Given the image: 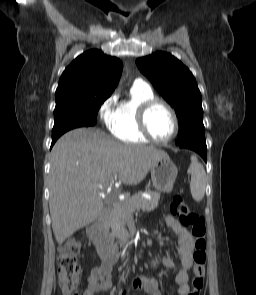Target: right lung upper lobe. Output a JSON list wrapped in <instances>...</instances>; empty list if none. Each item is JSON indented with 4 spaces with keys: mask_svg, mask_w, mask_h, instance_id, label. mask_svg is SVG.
<instances>
[{
    "mask_svg": "<svg viewBox=\"0 0 256 295\" xmlns=\"http://www.w3.org/2000/svg\"><path fill=\"white\" fill-rule=\"evenodd\" d=\"M122 62L97 49L78 56L63 72L56 90V104L108 98L116 88Z\"/></svg>",
    "mask_w": 256,
    "mask_h": 295,
    "instance_id": "right-lung-upper-lobe-1",
    "label": "right lung upper lobe"
}]
</instances>
